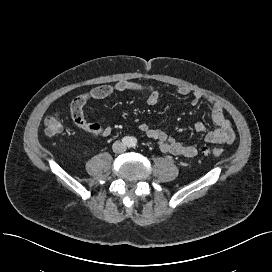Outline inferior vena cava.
I'll use <instances>...</instances> for the list:
<instances>
[{"label": "inferior vena cava", "instance_id": "1", "mask_svg": "<svg viewBox=\"0 0 272 272\" xmlns=\"http://www.w3.org/2000/svg\"><path fill=\"white\" fill-rule=\"evenodd\" d=\"M112 149L115 153H122L126 150V146L122 142L116 141L113 144Z\"/></svg>", "mask_w": 272, "mask_h": 272}]
</instances>
